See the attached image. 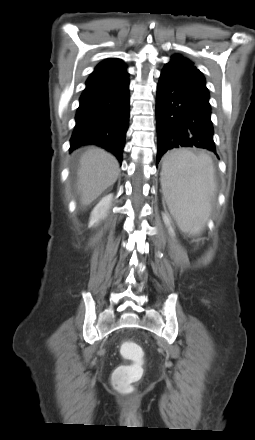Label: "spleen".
Returning <instances> with one entry per match:
<instances>
[{
    "label": "spleen",
    "instance_id": "3e777b00",
    "mask_svg": "<svg viewBox=\"0 0 255 440\" xmlns=\"http://www.w3.org/2000/svg\"><path fill=\"white\" fill-rule=\"evenodd\" d=\"M161 184L180 229L199 233L210 215V197L215 189L211 157L188 149L171 151L164 158Z\"/></svg>",
    "mask_w": 255,
    "mask_h": 440
}]
</instances>
